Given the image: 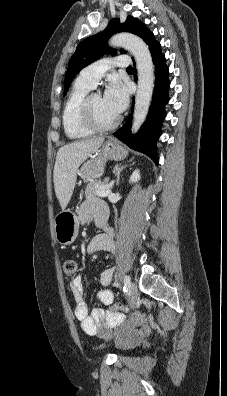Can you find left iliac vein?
I'll return each mask as SVG.
<instances>
[{
  "instance_id": "4c4485c4",
  "label": "left iliac vein",
  "mask_w": 227,
  "mask_h": 396,
  "mask_svg": "<svg viewBox=\"0 0 227 396\" xmlns=\"http://www.w3.org/2000/svg\"><path fill=\"white\" fill-rule=\"evenodd\" d=\"M137 298H138L137 286L134 282H131L129 287V303L132 307L135 305Z\"/></svg>"
}]
</instances>
